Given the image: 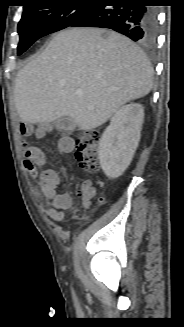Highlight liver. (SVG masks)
I'll use <instances>...</instances> for the list:
<instances>
[{
	"label": "liver",
	"mask_w": 184,
	"mask_h": 327,
	"mask_svg": "<svg viewBox=\"0 0 184 327\" xmlns=\"http://www.w3.org/2000/svg\"><path fill=\"white\" fill-rule=\"evenodd\" d=\"M152 87L153 67L130 39L106 29L73 28L58 33L18 72L14 99L23 122L71 117L81 130H91Z\"/></svg>",
	"instance_id": "6515ba94"
}]
</instances>
